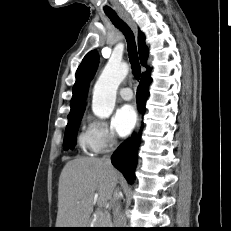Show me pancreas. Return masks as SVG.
<instances>
[{
	"instance_id": "1",
	"label": "pancreas",
	"mask_w": 231,
	"mask_h": 231,
	"mask_svg": "<svg viewBox=\"0 0 231 231\" xmlns=\"http://www.w3.org/2000/svg\"><path fill=\"white\" fill-rule=\"evenodd\" d=\"M110 223V217L107 212L98 211L95 224L99 227H105Z\"/></svg>"
}]
</instances>
